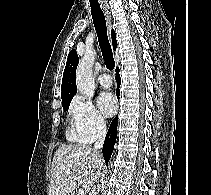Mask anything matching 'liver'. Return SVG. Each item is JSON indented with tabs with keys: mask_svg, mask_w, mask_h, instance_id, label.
Masks as SVG:
<instances>
[{
	"mask_svg": "<svg viewBox=\"0 0 211 195\" xmlns=\"http://www.w3.org/2000/svg\"><path fill=\"white\" fill-rule=\"evenodd\" d=\"M102 167L101 155L89 146L61 145L52 160L49 195H75L77 183L89 192L101 175Z\"/></svg>",
	"mask_w": 211,
	"mask_h": 195,
	"instance_id": "1",
	"label": "liver"
}]
</instances>
